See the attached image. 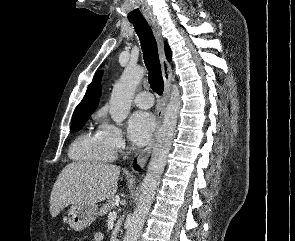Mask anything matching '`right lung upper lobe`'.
<instances>
[{
  "mask_svg": "<svg viewBox=\"0 0 295 241\" xmlns=\"http://www.w3.org/2000/svg\"><path fill=\"white\" fill-rule=\"evenodd\" d=\"M165 53L166 57L169 61H171V50L168 44L165 45ZM102 72H97L93 77L92 82L87 88L86 94L84 95L82 101L78 104L74 111V115H79L83 113H92L99 102V97L101 95V81Z\"/></svg>",
  "mask_w": 295,
  "mask_h": 241,
  "instance_id": "obj_1",
  "label": "right lung upper lobe"
}]
</instances>
